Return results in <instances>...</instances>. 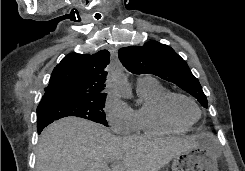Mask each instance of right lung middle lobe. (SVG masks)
I'll list each match as a JSON object with an SVG mask.
<instances>
[{"instance_id":"obj_1","label":"right lung middle lobe","mask_w":245,"mask_h":171,"mask_svg":"<svg viewBox=\"0 0 245 171\" xmlns=\"http://www.w3.org/2000/svg\"><path fill=\"white\" fill-rule=\"evenodd\" d=\"M105 99L106 94L90 98L47 100L38 105L37 118L58 120L67 116H76L108 126L103 110Z\"/></svg>"}]
</instances>
